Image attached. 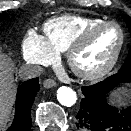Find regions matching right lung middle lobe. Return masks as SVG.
Wrapping results in <instances>:
<instances>
[{
    "instance_id": "obj_1",
    "label": "right lung middle lobe",
    "mask_w": 131,
    "mask_h": 131,
    "mask_svg": "<svg viewBox=\"0 0 131 131\" xmlns=\"http://www.w3.org/2000/svg\"><path fill=\"white\" fill-rule=\"evenodd\" d=\"M5 14H0V22L5 19Z\"/></svg>"
}]
</instances>
